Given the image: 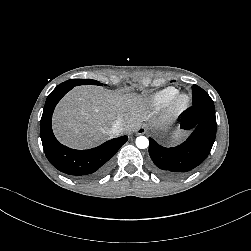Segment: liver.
Returning a JSON list of instances; mask_svg holds the SVG:
<instances>
[{
    "label": "liver",
    "mask_w": 251,
    "mask_h": 251,
    "mask_svg": "<svg viewBox=\"0 0 251 251\" xmlns=\"http://www.w3.org/2000/svg\"><path fill=\"white\" fill-rule=\"evenodd\" d=\"M145 118L141 99L94 86L74 89L59 104L54 127L57 136L72 147H88L112 136L116 121L137 128Z\"/></svg>",
    "instance_id": "obj_1"
}]
</instances>
